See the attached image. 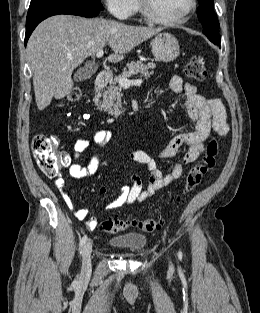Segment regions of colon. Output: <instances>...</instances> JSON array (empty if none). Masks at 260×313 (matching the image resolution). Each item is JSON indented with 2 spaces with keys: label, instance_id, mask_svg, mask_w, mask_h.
I'll return each instance as SVG.
<instances>
[{
  "label": "colon",
  "instance_id": "1",
  "mask_svg": "<svg viewBox=\"0 0 260 313\" xmlns=\"http://www.w3.org/2000/svg\"><path fill=\"white\" fill-rule=\"evenodd\" d=\"M185 74L196 81L206 80L208 72L204 58L200 56L192 57L185 67ZM80 97L81 91L76 87L68 94V100L71 102L79 100ZM58 145L59 140L55 136L46 134L35 135L32 142L36 164L43 174L50 178L58 177L63 167L66 166V155L58 149ZM218 149V143L215 140L208 144L203 160L195 164L186 176L185 192H192L198 187L203 176L216 165ZM159 223L157 219L153 218L145 220L110 218L101 222V228L108 233H118L129 227H134L150 233L158 227Z\"/></svg>",
  "mask_w": 260,
  "mask_h": 313
}]
</instances>
